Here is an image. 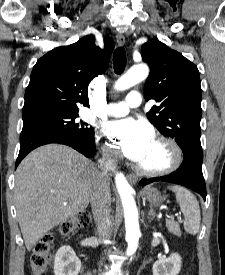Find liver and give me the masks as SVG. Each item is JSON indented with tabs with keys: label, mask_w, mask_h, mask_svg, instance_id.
I'll return each mask as SVG.
<instances>
[{
	"label": "liver",
	"mask_w": 225,
	"mask_h": 275,
	"mask_svg": "<svg viewBox=\"0 0 225 275\" xmlns=\"http://www.w3.org/2000/svg\"><path fill=\"white\" fill-rule=\"evenodd\" d=\"M96 168L61 144L41 146L23 159L15 174L14 199L28 251L49 230L87 208Z\"/></svg>",
	"instance_id": "obj_1"
}]
</instances>
